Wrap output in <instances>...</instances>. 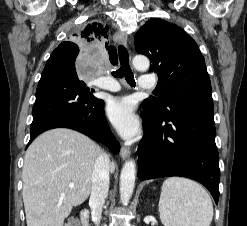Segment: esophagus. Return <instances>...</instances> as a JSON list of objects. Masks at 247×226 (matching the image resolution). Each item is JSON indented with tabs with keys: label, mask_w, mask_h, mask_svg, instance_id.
<instances>
[{
	"label": "esophagus",
	"mask_w": 247,
	"mask_h": 226,
	"mask_svg": "<svg viewBox=\"0 0 247 226\" xmlns=\"http://www.w3.org/2000/svg\"><path fill=\"white\" fill-rule=\"evenodd\" d=\"M115 40L124 45L127 46V35L124 32L117 31L114 35ZM121 158L123 160L127 159L130 156V149L128 147L123 146L120 151Z\"/></svg>",
	"instance_id": "34e87169"
}]
</instances>
